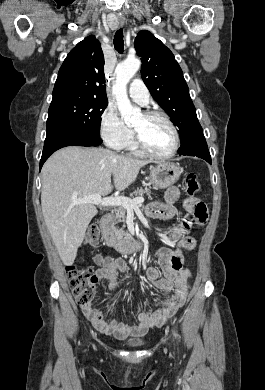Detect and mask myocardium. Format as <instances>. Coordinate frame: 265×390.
<instances>
[{"instance_id":"f54148a6","label":"myocardium","mask_w":265,"mask_h":390,"mask_svg":"<svg viewBox=\"0 0 265 390\" xmlns=\"http://www.w3.org/2000/svg\"><path fill=\"white\" fill-rule=\"evenodd\" d=\"M143 115L147 118H159V119L163 120L168 125L170 130L172 131V134L174 137V142H173V146L170 149V151H168L165 154H157V153L151 151L147 147V145L143 141L141 135L135 129H133L135 143H136L139 151L141 153H143L144 155H146L150 158H153V159H157V160H167V159L172 158L177 153L179 146H180V135H179L178 129L175 126V124L171 121V119L167 115H165L164 113H162L160 111L147 110V111L143 112Z\"/></svg>"}]
</instances>
